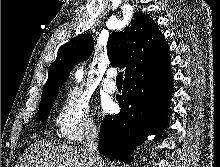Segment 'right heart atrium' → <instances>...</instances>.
<instances>
[{"label": "right heart atrium", "instance_id": "d8ad5b80", "mask_svg": "<svg viewBox=\"0 0 220 167\" xmlns=\"http://www.w3.org/2000/svg\"><path fill=\"white\" fill-rule=\"evenodd\" d=\"M58 134L68 143L77 144L98 133V124L88 97L78 89L68 91L55 117Z\"/></svg>", "mask_w": 220, "mask_h": 167}]
</instances>
